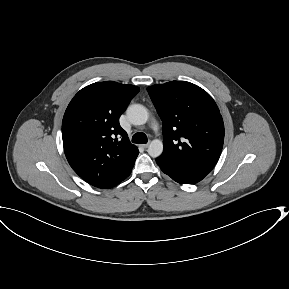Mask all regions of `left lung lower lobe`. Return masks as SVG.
Returning <instances> with one entry per match:
<instances>
[{
    "label": "left lung lower lobe",
    "instance_id": "obj_1",
    "mask_svg": "<svg viewBox=\"0 0 289 289\" xmlns=\"http://www.w3.org/2000/svg\"><path fill=\"white\" fill-rule=\"evenodd\" d=\"M156 162L165 174L170 176L174 181L178 183L194 184L202 180L208 174L180 168L170 169L164 167L158 160H156Z\"/></svg>",
    "mask_w": 289,
    "mask_h": 289
}]
</instances>
